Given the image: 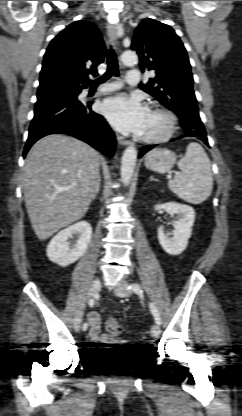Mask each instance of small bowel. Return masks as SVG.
I'll list each match as a JSON object with an SVG mask.
<instances>
[{
	"label": "small bowel",
	"instance_id": "obj_1",
	"mask_svg": "<svg viewBox=\"0 0 242 416\" xmlns=\"http://www.w3.org/2000/svg\"><path fill=\"white\" fill-rule=\"evenodd\" d=\"M87 320L90 323L89 337L93 343L109 344L113 339L106 335L101 334L100 331V316L96 312H91L87 315Z\"/></svg>",
	"mask_w": 242,
	"mask_h": 416
}]
</instances>
